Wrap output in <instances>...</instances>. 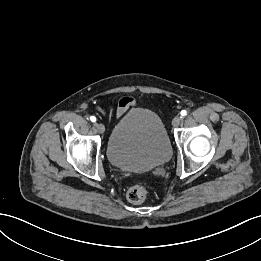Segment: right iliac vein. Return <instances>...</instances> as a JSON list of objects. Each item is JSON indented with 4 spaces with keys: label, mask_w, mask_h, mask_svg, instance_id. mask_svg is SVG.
<instances>
[{
    "label": "right iliac vein",
    "mask_w": 261,
    "mask_h": 261,
    "mask_svg": "<svg viewBox=\"0 0 261 261\" xmlns=\"http://www.w3.org/2000/svg\"><path fill=\"white\" fill-rule=\"evenodd\" d=\"M95 127H96V129H97V131L99 132V133H104L105 132V126L103 125V124H101V123H96L95 124Z\"/></svg>",
    "instance_id": "obj_1"
}]
</instances>
